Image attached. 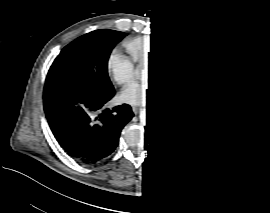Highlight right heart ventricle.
I'll return each mask as SVG.
<instances>
[{
    "mask_svg": "<svg viewBox=\"0 0 270 213\" xmlns=\"http://www.w3.org/2000/svg\"><path fill=\"white\" fill-rule=\"evenodd\" d=\"M162 45L165 50L174 46L173 43L167 39L163 40ZM156 46L160 47L161 41H156L151 36H145L135 40L134 43L130 45V50L136 59H142L144 57L153 56Z\"/></svg>",
    "mask_w": 270,
    "mask_h": 213,
    "instance_id": "e07e8e85",
    "label": "right heart ventricle"
}]
</instances>
